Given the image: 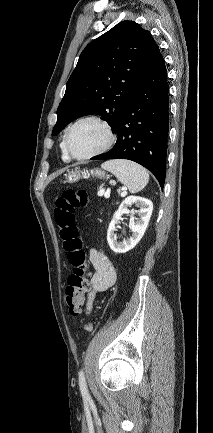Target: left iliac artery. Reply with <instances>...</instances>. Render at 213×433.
Segmentation results:
<instances>
[{
	"mask_svg": "<svg viewBox=\"0 0 213 433\" xmlns=\"http://www.w3.org/2000/svg\"><path fill=\"white\" fill-rule=\"evenodd\" d=\"M79 387H80V391H81L82 397L84 399L88 400L90 398V396H89V392H88V388H87V384H86V379H85V375H84L83 370H81L79 372Z\"/></svg>",
	"mask_w": 213,
	"mask_h": 433,
	"instance_id": "44dca946",
	"label": "left iliac artery"
}]
</instances>
